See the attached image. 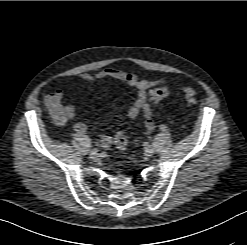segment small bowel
Returning a JSON list of instances; mask_svg holds the SVG:
<instances>
[{
    "mask_svg": "<svg viewBox=\"0 0 247 245\" xmlns=\"http://www.w3.org/2000/svg\"><path fill=\"white\" fill-rule=\"evenodd\" d=\"M105 79H114L126 83L136 92V98L128 109L127 115L130 119H135L139 115L143 118L144 134L149 135L155 128L151 116V107L147 100V92L153 87H161L167 83L166 78L156 80H146L133 72H126L120 69L106 67L96 73H82L78 76L80 82L86 84H95ZM64 93L57 89L46 96L45 104L49 112L59 124L71 123L72 129L77 134H84L87 126L83 122H73L75 109L72 105H63ZM100 145L108 148L112 143V138L108 135H101Z\"/></svg>",
    "mask_w": 247,
    "mask_h": 245,
    "instance_id": "small-bowel-1",
    "label": "small bowel"
}]
</instances>
